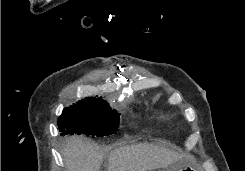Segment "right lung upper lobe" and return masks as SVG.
Here are the masks:
<instances>
[{
	"mask_svg": "<svg viewBox=\"0 0 245 171\" xmlns=\"http://www.w3.org/2000/svg\"><path fill=\"white\" fill-rule=\"evenodd\" d=\"M95 100L103 101L101 98L87 97L85 99H82L80 102H82V101H95Z\"/></svg>",
	"mask_w": 245,
	"mask_h": 171,
	"instance_id": "cb5924a9",
	"label": "right lung upper lobe"
}]
</instances>
